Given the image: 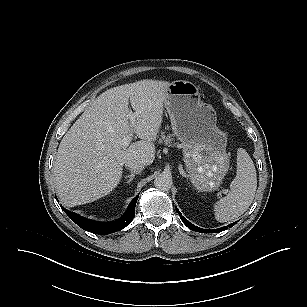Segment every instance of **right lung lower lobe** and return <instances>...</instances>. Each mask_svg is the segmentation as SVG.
Masks as SVG:
<instances>
[{"instance_id": "98d812e1", "label": "right lung lower lobe", "mask_w": 307, "mask_h": 307, "mask_svg": "<svg viewBox=\"0 0 307 307\" xmlns=\"http://www.w3.org/2000/svg\"><path fill=\"white\" fill-rule=\"evenodd\" d=\"M138 196H136L130 203L126 213L118 220L113 222H97L91 219L84 218L67 209L64 212L82 229L95 234H110L122 230L133 220L135 216V206Z\"/></svg>"}]
</instances>
